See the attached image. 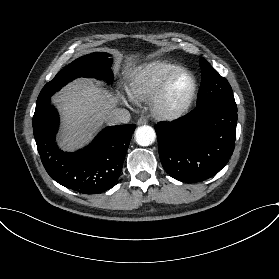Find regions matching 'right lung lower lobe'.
Listing matches in <instances>:
<instances>
[{"mask_svg": "<svg viewBox=\"0 0 279 279\" xmlns=\"http://www.w3.org/2000/svg\"><path fill=\"white\" fill-rule=\"evenodd\" d=\"M58 114L50 99L36 103L33 131L47 173L59 184L81 194L109 190L119 178L135 124L107 127L94 141L74 153L55 143Z\"/></svg>", "mask_w": 279, "mask_h": 279, "instance_id": "98d812e1", "label": "right lung lower lobe"}]
</instances>
